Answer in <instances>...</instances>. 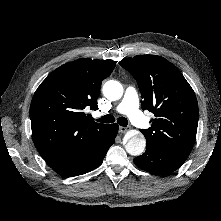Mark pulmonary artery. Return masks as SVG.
<instances>
[{
	"label": "pulmonary artery",
	"mask_w": 221,
	"mask_h": 221,
	"mask_svg": "<svg viewBox=\"0 0 221 221\" xmlns=\"http://www.w3.org/2000/svg\"><path fill=\"white\" fill-rule=\"evenodd\" d=\"M116 112L127 115L137 126L144 127L147 125V119L139 110L138 93L132 86L126 88L122 101L116 107Z\"/></svg>",
	"instance_id": "e3ab8cb5"
}]
</instances>
